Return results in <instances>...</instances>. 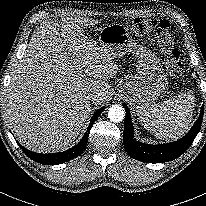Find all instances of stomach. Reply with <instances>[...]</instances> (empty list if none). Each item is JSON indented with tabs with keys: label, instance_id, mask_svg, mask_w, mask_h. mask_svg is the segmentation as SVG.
Here are the masks:
<instances>
[{
	"label": "stomach",
	"instance_id": "obj_1",
	"mask_svg": "<svg viewBox=\"0 0 206 206\" xmlns=\"http://www.w3.org/2000/svg\"><path fill=\"white\" fill-rule=\"evenodd\" d=\"M99 44L113 57L130 52L137 60L136 72L120 87L119 95L127 99L137 113L154 103L167 85V77L158 57L146 46L135 42L123 24L113 23L102 28Z\"/></svg>",
	"mask_w": 206,
	"mask_h": 206
}]
</instances>
